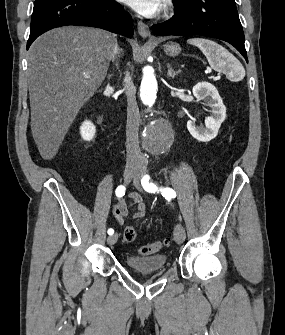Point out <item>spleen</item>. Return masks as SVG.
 Returning a JSON list of instances; mask_svg holds the SVG:
<instances>
[{
  "label": "spleen",
  "instance_id": "3e777b00",
  "mask_svg": "<svg viewBox=\"0 0 285 335\" xmlns=\"http://www.w3.org/2000/svg\"><path fill=\"white\" fill-rule=\"evenodd\" d=\"M187 44H192V46L200 48L213 70H216L220 60H225L221 68H223V66H227V62H230L231 60V54H229L225 48L216 44V42H211V40L192 38V40H187Z\"/></svg>",
  "mask_w": 285,
  "mask_h": 335
}]
</instances>
